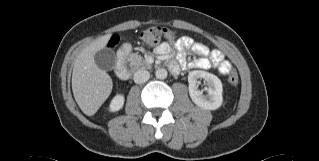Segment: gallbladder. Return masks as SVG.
Here are the masks:
<instances>
[{
  "mask_svg": "<svg viewBox=\"0 0 319 161\" xmlns=\"http://www.w3.org/2000/svg\"><path fill=\"white\" fill-rule=\"evenodd\" d=\"M96 65L105 71L112 70L116 65V55L110 48H104L94 55Z\"/></svg>",
  "mask_w": 319,
  "mask_h": 161,
  "instance_id": "bac80fb5",
  "label": "gallbladder"
}]
</instances>
